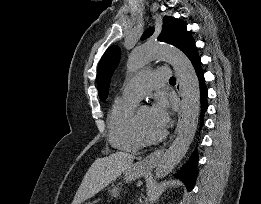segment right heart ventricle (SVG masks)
Here are the masks:
<instances>
[{
  "instance_id": "e07e8e85",
  "label": "right heart ventricle",
  "mask_w": 261,
  "mask_h": 204,
  "mask_svg": "<svg viewBox=\"0 0 261 204\" xmlns=\"http://www.w3.org/2000/svg\"><path fill=\"white\" fill-rule=\"evenodd\" d=\"M137 102L118 97L111 106L108 115L109 141L119 150L136 152L144 145L134 123V110Z\"/></svg>"
}]
</instances>
